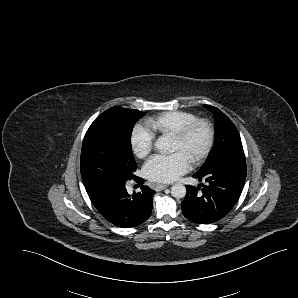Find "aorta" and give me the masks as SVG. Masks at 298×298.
<instances>
[{"label":"aorta","mask_w":298,"mask_h":298,"mask_svg":"<svg viewBox=\"0 0 298 298\" xmlns=\"http://www.w3.org/2000/svg\"><path fill=\"white\" fill-rule=\"evenodd\" d=\"M154 147L162 154L173 153L177 150L175 140L172 137L164 135L158 137L154 143ZM186 192L187 189L183 184L176 183L171 187V195L174 198H184L186 196Z\"/></svg>","instance_id":"aorta-1"}]
</instances>
